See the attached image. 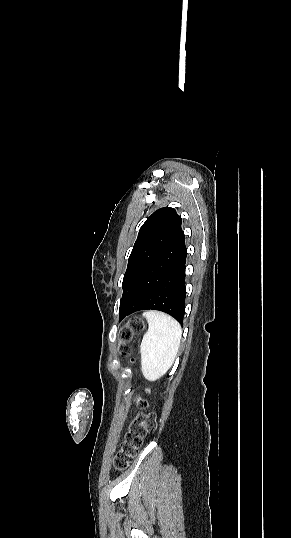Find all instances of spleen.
<instances>
[{
	"label": "spleen",
	"mask_w": 291,
	"mask_h": 538,
	"mask_svg": "<svg viewBox=\"0 0 291 538\" xmlns=\"http://www.w3.org/2000/svg\"><path fill=\"white\" fill-rule=\"evenodd\" d=\"M145 317L148 331L141 345V366L146 379L155 381L173 364L180 347L182 329L180 324L163 312L147 311Z\"/></svg>",
	"instance_id": "1"
}]
</instances>
